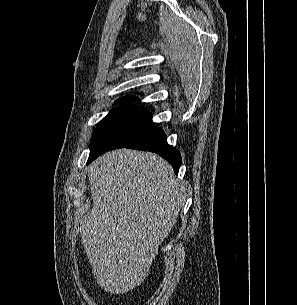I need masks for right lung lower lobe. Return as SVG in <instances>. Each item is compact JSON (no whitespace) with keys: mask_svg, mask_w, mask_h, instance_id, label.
Returning <instances> with one entry per match:
<instances>
[{"mask_svg":"<svg viewBox=\"0 0 297 305\" xmlns=\"http://www.w3.org/2000/svg\"><path fill=\"white\" fill-rule=\"evenodd\" d=\"M131 148L137 150L151 151L159 154L164 159H166L171 165L176 174H178L182 159L178 150L173 148L167 143V137L161 128H153L144 134L142 137L132 141L124 146L112 147L101 149L94 152L89 156L87 164L91 163L98 156L102 155L106 151L113 150L116 148Z\"/></svg>","mask_w":297,"mask_h":305,"instance_id":"right-lung-lower-lobe-1","label":"right lung lower lobe"}]
</instances>
